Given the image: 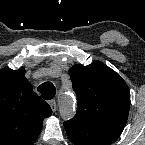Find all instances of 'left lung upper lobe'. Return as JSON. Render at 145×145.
I'll list each match as a JSON object with an SVG mask.
<instances>
[{
    "label": "left lung upper lobe",
    "instance_id": "obj_1",
    "mask_svg": "<svg viewBox=\"0 0 145 145\" xmlns=\"http://www.w3.org/2000/svg\"><path fill=\"white\" fill-rule=\"evenodd\" d=\"M77 95V113L69 122L92 126L124 127L130 107L125 81L101 62L74 65L69 70Z\"/></svg>",
    "mask_w": 145,
    "mask_h": 145
}]
</instances>
